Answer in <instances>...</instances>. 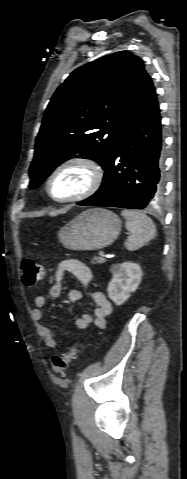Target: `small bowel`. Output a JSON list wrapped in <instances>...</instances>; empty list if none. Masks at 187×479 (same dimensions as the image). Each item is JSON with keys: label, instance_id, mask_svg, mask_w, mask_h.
<instances>
[{"label": "small bowel", "instance_id": "obj_1", "mask_svg": "<svg viewBox=\"0 0 187 479\" xmlns=\"http://www.w3.org/2000/svg\"><path fill=\"white\" fill-rule=\"evenodd\" d=\"M70 273L81 289H72L68 292L67 300L69 304L76 303L83 298L82 290H88L92 279L91 270L87 265L75 259L62 261L56 271L55 278L51 284L48 295H39L35 297L34 308L32 311L33 319L40 322L43 318V307L48 300L60 296L63 290L64 273ZM91 299L95 304L93 314H82L75 319V325L81 330H87L90 324L97 328H104L107 324V318L112 312V305L106 296L100 291H90ZM43 341L51 349L57 348L55 333L46 326H40Z\"/></svg>", "mask_w": 187, "mask_h": 479}]
</instances>
